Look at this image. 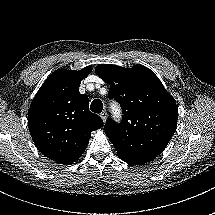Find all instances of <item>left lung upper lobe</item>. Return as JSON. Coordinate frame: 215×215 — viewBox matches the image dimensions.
<instances>
[{"mask_svg":"<svg viewBox=\"0 0 215 215\" xmlns=\"http://www.w3.org/2000/svg\"><path fill=\"white\" fill-rule=\"evenodd\" d=\"M96 74L110 85L108 96L123 109L120 124L109 119L104 132L118 156L153 160L166 148L178 119L174 98L147 67L99 64Z\"/></svg>","mask_w":215,"mask_h":215,"instance_id":"1","label":"left lung upper lobe"}]
</instances>
